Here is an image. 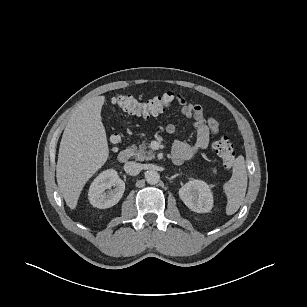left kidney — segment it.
Segmentation results:
<instances>
[{"label": "left kidney", "mask_w": 307, "mask_h": 307, "mask_svg": "<svg viewBox=\"0 0 307 307\" xmlns=\"http://www.w3.org/2000/svg\"><path fill=\"white\" fill-rule=\"evenodd\" d=\"M184 204L194 212L207 213L213 207V194L203 180L193 179L179 189Z\"/></svg>", "instance_id": "5707ae66"}]
</instances>
